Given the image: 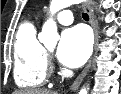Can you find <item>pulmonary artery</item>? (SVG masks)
<instances>
[{
    "instance_id": "1",
    "label": "pulmonary artery",
    "mask_w": 121,
    "mask_h": 94,
    "mask_svg": "<svg viewBox=\"0 0 121 94\" xmlns=\"http://www.w3.org/2000/svg\"><path fill=\"white\" fill-rule=\"evenodd\" d=\"M74 15L69 10H64L58 14L57 20L63 25H70L73 22Z\"/></svg>"
}]
</instances>
